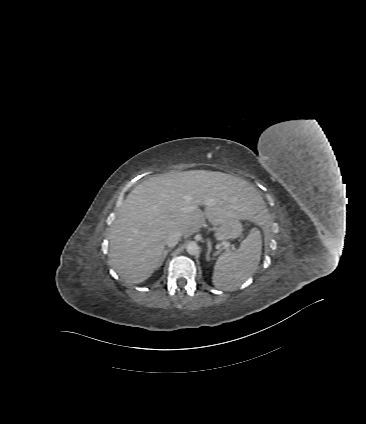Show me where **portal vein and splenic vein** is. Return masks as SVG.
Wrapping results in <instances>:
<instances>
[{
    "instance_id": "18ae733b",
    "label": "portal vein and splenic vein",
    "mask_w": 366,
    "mask_h": 424,
    "mask_svg": "<svg viewBox=\"0 0 366 424\" xmlns=\"http://www.w3.org/2000/svg\"><path fill=\"white\" fill-rule=\"evenodd\" d=\"M229 246H230V244H229V243H227V242H225V243H224V248H225L226 250H228V249H229Z\"/></svg>"
}]
</instances>
